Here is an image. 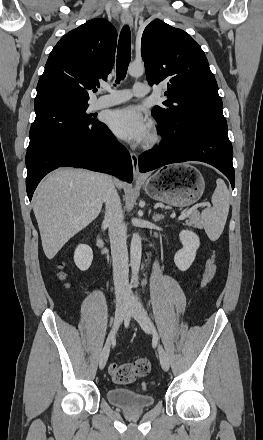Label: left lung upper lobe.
<instances>
[{
  "instance_id": "obj_1",
  "label": "left lung upper lobe",
  "mask_w": 263,
  "mask_h": 440,
  "mask_svg": "<svg viewBox=\"0 0 263 440\" xmlns=\"http://www.w3.org/2000/svg\"><path fill=\"white\" fill-rule=\"evenodd\" d=\"M141 55L149 84L168 83L169 100L152 109L160 124L189 133L203 122L225 119L208 60L189 34L156 19L143 32Z\"/></svg>"
}]
</instances>
